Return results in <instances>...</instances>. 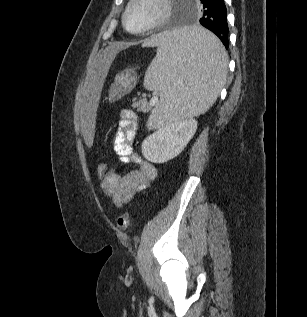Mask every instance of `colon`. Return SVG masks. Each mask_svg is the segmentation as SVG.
Here are the masks:
<instances>
[{"instance_id": "5ec220e1", "label": "colon", "mask_w": 307, "mask_h": 317, "mask_svg": "<svg viewBox=\"0 0 307 317\" xmlns=\"http://www.w3.org/2000/svg\"><path fill=\"white\" fill-rule=\"evenodd\" d=\"M108 170L107 164L99 162L96 166V174L99 178H103ZM116 226L119 230L125 231L129 226V216L126 212L121 213L116 220Z\"/></svg>"}]
</instances>
